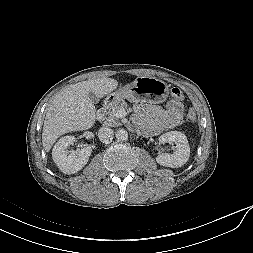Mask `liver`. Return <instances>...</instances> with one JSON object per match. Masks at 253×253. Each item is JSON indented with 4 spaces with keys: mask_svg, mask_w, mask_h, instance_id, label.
<instances>
[{
    "mask_svg": "<svg viewBox=\"0 0 253 253\" xmlns=\"http://www.w3.org/2000/svg\"><path fill=\"white\" fill-rule=\"evenodd\" d=\"M117 86V80L104 77L79 82L59 92L53 98L43 125L45 151L48 152L61 135L91 128L96 120V108L88 94L93 92L102 98Z\"/></svg>",
    "mask_w": 253,
    "mask_h": 253,
    "instance_id": "6515ba94",
    "label": "liver"
}]
</instances>
